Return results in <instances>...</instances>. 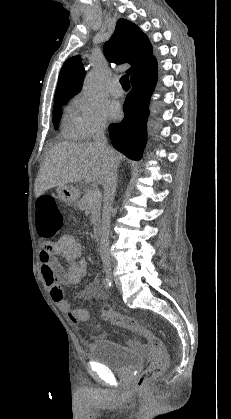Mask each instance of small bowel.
Wrapping results in <instances>:
<instances>
[{
  "mask_svg": "<svg viewBox=\"0 0 231 419\" xmlns=\"http://www.w3.org/2000/svg\"><path fill=\"white\" fill-rule=\"evenodd\" d=\"M81 242L72 235H63L53 242L43 243L40 249L41 272L49 288L50 295L56 306L63 312L73 313L79 320L86 321L90 317L87 309L72 308L64 298L62 286H76L88 271V262L81 258ZM58 256L67 262L65 268ZM85 299H104L105 293L97 279L93 280L82 294ZM130 342H135L133 339Z\"/></svg>",
  "mask_w": 231,
  "mask_h": 419,
  "instance_id": "c3829d8e",
  "label": "small bowel"
}]
</instances>
